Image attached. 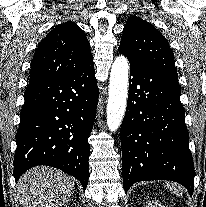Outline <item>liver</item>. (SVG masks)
Segmentation results:
<instances>
[{"label": "liver", "mask_w": 206, "mask_h": 207, "mask_svg": "<svg viewBox=\"0 0 206 207\" xmlns=\"http://www.w3.org/2000/svg\"><path fill=\"white\" fill-rule=\"evenodd\" d=\"M74 184L60 170L35 167L19 179L18 198L23 207H62L73 195Z\"/></svg>", "instance_id": "6515ba94"}]
</instances>
